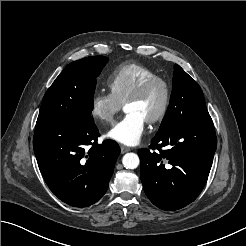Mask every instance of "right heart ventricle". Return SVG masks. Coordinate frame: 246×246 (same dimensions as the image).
Listing matches in <instances>:
<instances>
[{
  "label": "right heart ventricle",
  "mask_w": 246,
  "mask_h": 246,
  "mask_svg": "<svg viewBox=\"0 0 246 246\" xmlns=\"http://www.w3.org/2000/svg\"><path fill=\"white\" fill-rule=\"evenodd\" d=\"M156 72L139 63L126 62L117 66L107 77L106 84L114 98L123 104L127 97Z\"/></svg>",
  "instance_id": "e07e8e85"
}]
</instances>
